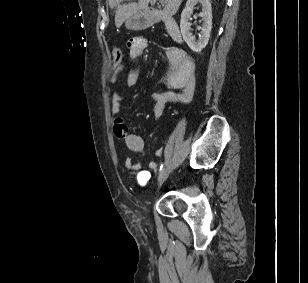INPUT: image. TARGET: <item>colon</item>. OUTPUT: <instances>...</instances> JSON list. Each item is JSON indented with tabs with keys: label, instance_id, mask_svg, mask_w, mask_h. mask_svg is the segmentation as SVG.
I'll list each match as a JSON object with an SVG mask.
<instances>
[{
	"label": "colon",
	"instance_id": "colon-1",
	"mask_svg": "<svg viewBox=\"0 0 308 283\" xmlns=\"http://www.w3.org/2000/svg\"><path fill=\"white\" fill-rule=\"evenodd\" d=\"M113 62L115 66H118L122 60V51L120 48H114L112 51Z\"/></svg>",
	"mask_w": 308,
	"mask_h": 283
}]
</instances>
